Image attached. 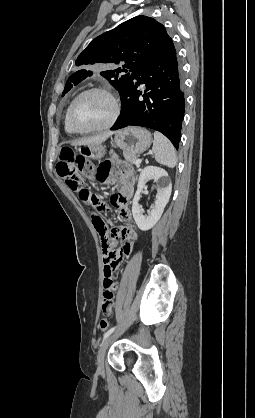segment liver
Wrapping results in <instances>:
<instances>
[{
	"mask_svg": "<svg viewBox=\"0 0 255 418\" xmlns=\"http://www.w3.org/2000/svg\"><path fill=\"white\" fill-rule=\"evenodd\" d=\"M111 135H113V132H106L97 136L87 137L83 139H79L77 141H74L71 143V145L74 146H81V145H101L102 142H104L107 138H109Z\"/></svg>",
	"mask_w": 255,
	"mask_h": 418,
	"instance_id": "obj_1",
	"label": "liver"
}]
</instances>
